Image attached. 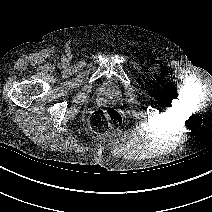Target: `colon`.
Masks as SVG:
<instances>
[{"instance_id": "5ec220e1", "label": "colon", "mask_w": 212, "mask_h": 212, "mask_svg": "<svg viewBox=\"0 0 212 212\" xmlns=\"http://www.w3.org/2000/svg\"><path fill=\"white\" fill-rule=\"evenodd\" d=\"M90 128L97 133L119 129L123 124L122 115L110 107L97 108L88 118Z\"/></svg>"}]
</instances>
